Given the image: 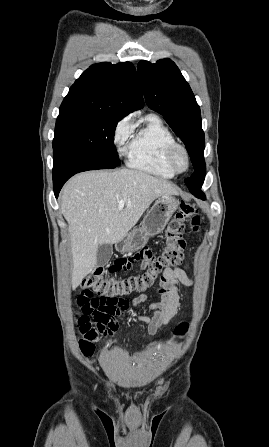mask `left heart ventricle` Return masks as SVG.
<instances>
[{"label":"left heart ventricle","instance_id":"obj_1","mask_svg":"<svg viewBox=\"0 0 269 447\" xmlns=\"http://www.w3.org/2000/svg\"><path fill=\"white\" fill-rule=\"evenodd\" d=\"M178 166L180 169H184L186 166L185 160L182 155H180L178 158Z\"/></svg>","mask_w":269,"mask_h":447}]
</instances>
